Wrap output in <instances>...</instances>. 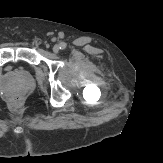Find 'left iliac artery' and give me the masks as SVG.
<instances>
[{"label": "left iliac artery", "mask_w": 163, "mask_h": 163, "mask_svg": "<svg viewBox=\"0 0 163 163\" xmlns=\"http://www.w3.org/2000/svg\"><path fill=\"white\" fill-rule=\"evenodd\" d=\"M59 47H60V49L64 50L66 48V43L65 42H61L59 44Z\"/></svg>", "instance_id": "left-iliac-artery-1"}]
</instances>
